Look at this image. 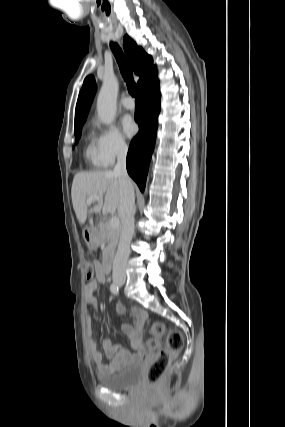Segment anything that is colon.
<instances>
[{
    "label": "colon",
    "mask_w": 285,
    "mask_h": 427,
    "mask_svg": "<svg viewBox=\"0 0 285 427\" xmlns=\"http://www.w3.org/2000/svg\"><path fill=\"white\" fill-rule=\"evenodd\" d=\"M85 275L88 280L95 278L93 263L87 262L85 264ZM149 335L146 342L147 350L154 353L155 356L147 370L146 381L149 386H155L165 374L175 353L182 348L183 337L177 329L166 330L161 322H153L150 325ZM163 335L165 337V348L158 351L159 340Z\"/></svg>",
    "instance_id": "colon-1"
}]
</instances>
